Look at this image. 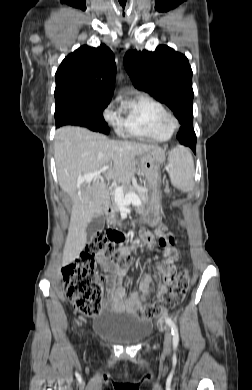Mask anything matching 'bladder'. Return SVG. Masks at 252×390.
Returning a JSON list of instances; mask_svg holds the SVG:
<instances>
[{
    "instance_id": "31cf9c89",
    "label": "bladder",
    "mask_w": 252,
    "mask_h": 390,
    "mask_svg": "<svg viewBox=\"0 0 252 390\" xmlns=\"http://www.w3.org/2000/svg\"><path fill=\"white\" fill-rule=\"evenodd\" d=\"M94 333L121 345H135L143 341L150 332L149 323L129 314H106L95 320Z\"/></svg>"
}]
</instances>
